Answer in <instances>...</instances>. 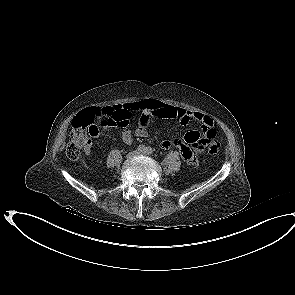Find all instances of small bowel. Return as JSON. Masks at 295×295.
<instances>
[{
    "mask_svg": "<svg viewBox=\"0 0 295 295\" xmlns=\"http://www.w3.org/2000/svg\"><path fill=\"white\" fill-rule=\"evenodd\" d=\"M110 108L112 109V117L109 119H100L101 128L105 130L109 129L112 125H119V123L124 120L132 118L135 113L141 112L138 127L134 133L126 128V126H122L125 128L121 130L120 136L122 141L126 144L132 142L133 135L142 138L147 137L150 123L154 118L168 119L183 125L188 124L191 120H196L202 124L203 130L208 127H213L212 119L202 112L173 107L156 99H142ZM205 142V135L203 137L199 131L191 130L187 132L183 138L163 140L161 142V147L164 149L176 147L184 160L195 163L196 156L204 151ZM85 152L89 154L91 152V147L88 146Z\"/></svg>",
    "mask_w": 295,
    "mask_h": 295,
    "instance_id": "obj_1",
    "label": "small bowel"
}]
</instances>
